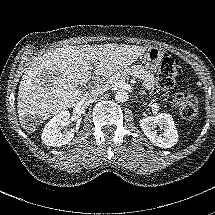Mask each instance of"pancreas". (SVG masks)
<instances>
[{
	"mask_svg": "<svg viewBox=\"0 0 215 215\" xmlns=\"http://www.w3.org/2000/svg\"><path fill=\"white\" fill-rule=\"evenodd\" d=\"M112 74H114L116 79H120L121 77L126 78L128 75L137 77L139 80L142 81V86L146 90H149L151 93H153L154 91L155 77L150 71L146 70L142 65H132L130 67H127L120 73V75H118L117 72H114Z\"/></svg>",
	"mask_w": 215,
	"mask_h": 215,
	"instance_id": "1",
	"label": "pancreas"
}]
</instances>
